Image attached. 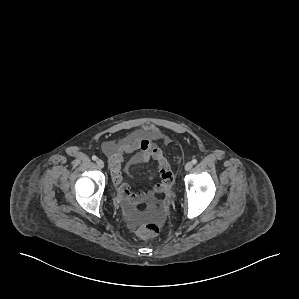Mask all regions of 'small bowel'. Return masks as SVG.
<instances>
[{
  "label": "small bowel",
  "instance_id": "small-bowel-1",
  "mask_svg": "<svg viewBox=\"0 0 299 299\" xmlns=\"http://www.w3.org/2000/svg\"><path fill=\"white\" fill-rule=\"evenodd\" d=\"M157 134L152 129H139L118 142H107L103 151L109 158L110 170L114 184L117 187L120 201L129 214L152 199L156 194L167 193L172 181V173L168 161L160 148L154 143ZM130 155L124 167L128 175L133 174L135 168L143 163L154 160L158 164L161 181L146 192H132L122 174L124 157Z\"/></svg>",
  "mask_w": 299,
  "mask_h": 299
}]
</instances>
